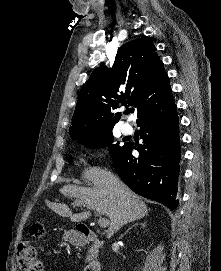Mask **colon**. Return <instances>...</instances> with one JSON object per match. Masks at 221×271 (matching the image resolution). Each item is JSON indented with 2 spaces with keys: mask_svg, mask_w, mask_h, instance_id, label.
Returning <instances> with one entry per match:
<instances>
[{
  "mask_svg": "<svg viewBox=\"0 0 221 271\" xmlns=\"http://www.w3.org/2000/svg\"><path fill=\"white\" fill-rule=\"evenodd\" d=\"M45 232L46 229L40 222L31 227V234L36 238L43 237ZM18 268L19 271H43L37 249L29 241H22L18 245Z\"/></svg>",
  "mask_w": 221,
  "mask_h": 271,
  "instance_id": "1",
  "label": "colon"
}]
</instances>
